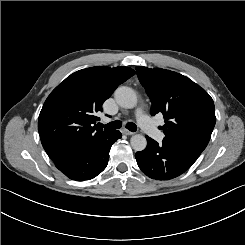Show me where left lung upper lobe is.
Segmentation results:
<instances>
[{
	"label": "left lung upper lobe",
	"mask_w": 245,
	"mask_h": 245,
	"mask_svg": "<svg viewBox=\"0 0 245 245\" xmlns=\"http://www.w3.org/2000/svg\"><path fill=\"white\" fill-rule=\"evenodd\" d=\"M140 83L151 99V114L162 113L165 139L201 154L215 126V108L208 93L179 73L136 67Z\"/></svg>",
	"instance_id": "1"
}]
</instances>
